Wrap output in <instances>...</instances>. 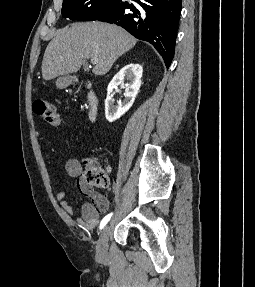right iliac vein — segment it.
<instances>
[{
  "instance_id": "obj_1",
  "label": "right iliac vein",
  "mask_w": 255,
  "mask_h": 287,
  "mask_svg": "<svg viewBox=\"0 0 255 287\" xmlns=\"http://www.w3.org/2000/svg\"><path fill=\"white\" fill-rule=\"evenodd\" d=\"M110 236V226L107 225L104 227L101 232L97 247L96 255L100 261H106L108 258V240Z\"/></svg>"
}]
</instances>
